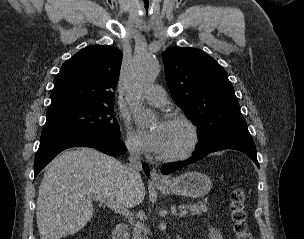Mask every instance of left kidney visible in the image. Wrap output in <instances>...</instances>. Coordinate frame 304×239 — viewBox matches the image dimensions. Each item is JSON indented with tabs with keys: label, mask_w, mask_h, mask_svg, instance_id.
I'll return each mask as SVG.
<instances>
[{
	"label": "left kidney",
	"mask_w": 304,
	"mask_h": 239,
	"mask_svg": "<svg viewBox=\"0 0 304 239\" xmlns=\"http://www.w3.org/2000/svg\"><path fill=\"white\" fill-rule=\"evenodd\" d=\"M209 239H223V236L218 229L209 227Z\"/></svg>",
	"instance_id": "5707ae66"
}]
</instances>
